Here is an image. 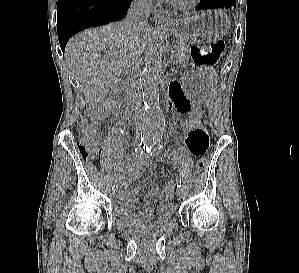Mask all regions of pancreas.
<instances>
[{"mask_svg": "<svg viewBox=\"0 0 299 273\" xmlns=\"http://www.w3.org/2000/svg\"><path fill=\"white\" fill-rule=\"evenodd\" d=\"M175 63L180 66H185L190 58L189 47L186 43H179L175 47Z\"/></svg>", "mask_w": 299, "mask_h": 273, "instance_id": "obj_1", "label": "pancreas"}]
</instances>
